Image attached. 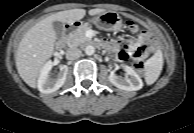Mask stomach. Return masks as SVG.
Listing matches in <instances>:
<instances>
[{"label":"stomach","instance_id":"0dacf381","mask_svg":"<svg viewBox=\"0 0 194 133\" xmlns=\"http://www.w3.org/2000/svg\"><path fill=\"white\" fill-rule=\"evenodd\" d=\"M98 28L106 31H117L122 27V20L118 13L106 11L91 19Z\"/></svg>","mask_w":194,"mask_h":133}]
</instances>
